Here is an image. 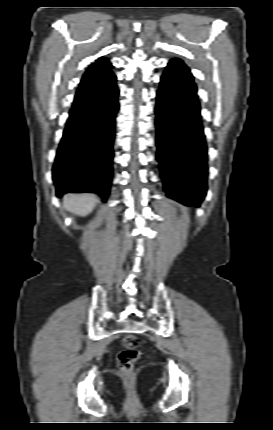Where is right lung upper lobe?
Instances as JSON below:
<instances>
[{
	"label": "right lung upper lobe",
	"instance_id": "obj_1",
	"mask_svg": "<svg viewBox=\"0 0 273 430\" xmlns=\"http://www.w3.org/2000/svg\"><path fill=\"white\" fill-rule=\"evenodd\" d=\"M111 67V63L106 58H99L92 64L82 77L74 102L85 98L89 93V88L93 84L112 76Z\"/></svg>",
	"mask_w": 273,
	"mask_h": 430
}]
</instances>
